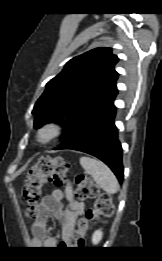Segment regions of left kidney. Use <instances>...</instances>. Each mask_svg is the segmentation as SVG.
<instances>
[{"label": "left kidney", "instance_id": "left-kidney-1", "mask_svg": "<svg viewBox=\"0 0 162 261\" xmlns=\"http://www.w3.org/2000/svg\"><path fill=\"white\" fill-rule=\"evenodd\" d=\"M103 237V232L101 230H96L92 236V243L98 244Z\"/></svg>", "mask_w": 162, "mask_h": 261}]
</instances>
